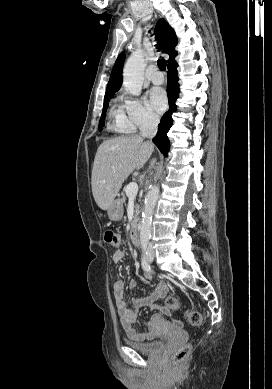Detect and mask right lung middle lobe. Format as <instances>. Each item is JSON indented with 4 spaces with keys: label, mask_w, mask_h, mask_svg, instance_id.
Instances as JSON below:
<instances>
[{
    "label": "right lung middle lobe",
    "mask_w": 272,
    "mask_h": 389,
    "mask_svg": "<svg viewBox=\"0 0 272 389\" xmlns=\"http://www.w3.org/2000/svg\"><path fill=\"white\" fill-rule=\"evenodd\" d=\"M110 95H111V94H110ZM110 95H107V96H105V98H104L103 111H102V115H101L100 122H99V131H101L102 128H103V126H104L105 116H106V110H107V107H108V102H109V97H110Z\"/></svg>",
    "instance_id": "dd1d6c3e"
}]
</instances>
